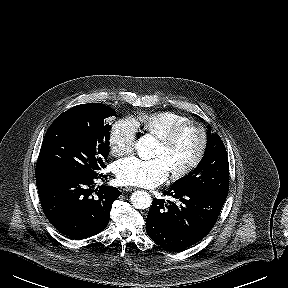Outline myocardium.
Here are the masks:
<instances>
[{"mask_svg":"<svg viewBox=\"0 0 288 288\" xmlns=\"http://www.w3.org/2000/svg\"><path fill=\"white\" fill-rule=\"evenodd\" d=\"M189 127H194L199 132L200 144H199L196 155L188 164H186L185 166H183L182 168H180L178 170L171 171L170 174H171V177L173 179H180V178L187 176L200 164V162L202 161L204 154L206 152V148H207V143H208L207 131L201 123H199L195 120H189L188 119L184 122H181V123L173 126L167 132H165L163 135L158 137V141L160 143H162L165 146H169L175 141V139L182 132H184Z\"/></svg>","mask_w":288,"mask_h":288,"instance_id":"myocardium-1","label":"myocardium"}]
</instances>
